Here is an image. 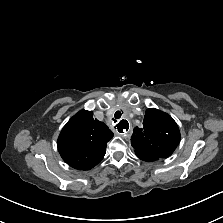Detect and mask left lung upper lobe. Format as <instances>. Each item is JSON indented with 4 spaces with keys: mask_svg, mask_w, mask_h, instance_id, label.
<instances>
[{
    "mask_svg": "<svg viewBox=\"0 0 223 223\" xmlns=\"http://www.w3.org/2000/svg\"><path fill=\"white\" fill-rule=\"evenodd\" d=\"M131 145L135 154L155 159L169 157L180 142V132L173 118L165 112L146 110L143 127H135Z\"/></svg>",
    "mask_w": 223,
    "mask_h": 223,
    "instance_id": "5c2ea615",
    "label": "left lung upper lobe"
}]
</instances>
